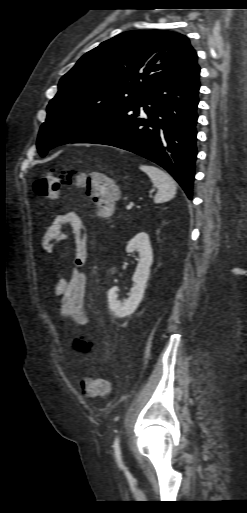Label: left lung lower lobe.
Listing matches in <instances>:
<instances>
[{"instance_id": "1", "label": "left lung lower lobe", "mask_w": 247, "mask_h": 513, "mask_svg": "<svg viewBox=\"0 0 247 513\" xmlns=\"http://www.w3.org/2000/svg\"><path fill=\"white\" fill-rule=\"evenodd\" d=\"M199 73L197 56L192 57L177 75L69 143L110 145L147 158L166 169L192 199Z\"/></svg>"}]
</instances>
